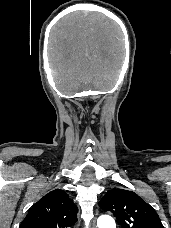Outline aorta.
Here are the masks:
<instances>
[{"instance_id": "obj_1", "label": "aorta", "mask_w": 171, "mask_h": 228, "mask_svg": "<svg viewBox=\"0 0 171 228\" xmlns=\"http://www.w3.org/2000/svg\"><path fill=\"white\" fill-rule=\"evenodd\" d=\"M97 225L98 228H116L114 219L108 215L99 217Z\"/></svg>"}]
</instances>
